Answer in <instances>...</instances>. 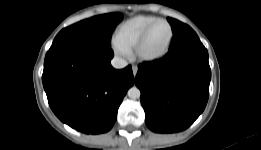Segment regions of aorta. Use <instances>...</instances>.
<instances>
[{"label":"aorta","mask_w":261,"mask_h":150,"mask_svg":"<svg viewBox=\"0 0 261 150\" xmlns=\"http://www.w3.org/2000/svg\"><path fill=\"white\" fill-rule=\"evenodd\" d=\"M127 95L131 99H138L140 98L141 92L136 86H133L128 90Z\"/></svg>","instance_id":"obj_1"}]
</instances>
